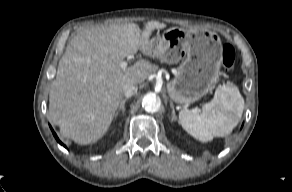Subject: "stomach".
I'll list each match as a JSON object with an SVG mask.
<instances>
[{
  "label": "stomach",
  "mask_w": 292,
  "mask_h": 192,
  "mask_svg": "<svg viewBox=\"0 0 292 192\" xmlns=\"http://www.w3.org/2000/svg\"><path fill=\"white\" fill-rule=\"evenodd\" d=\"M151 56L177 64L176 75L167 84L170 98L187 105L210 92L219 80L222 44L210 31L169 28L150 40Z\"/></svg>",
  "instance_id": "obj_1"
}]
</instances>
